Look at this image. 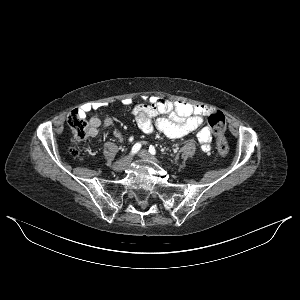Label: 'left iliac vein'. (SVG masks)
<instances>
[{"label":"left iliac vein","instance_id":"left-iliac-vein-1","mask_svg":"<svg viewBox=\"0 0 300 300\" xmlns=\"http://www.w3.org/2000/svg\"><path fill=\"white\" fill-rule=\"evenodd\" d=\"M139 156L142 158V159H145V160H149V161H152V162H155V163H159V161L152 155H150L147 151L145 150H142L139 152Z\"/></svg>","mask_w":300,"mask_h":300}]
</instances>
